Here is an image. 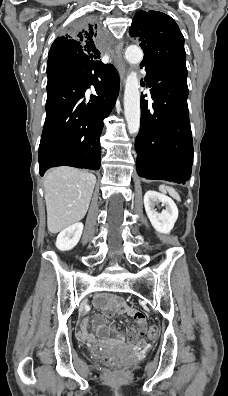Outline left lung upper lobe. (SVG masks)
Instances as JSON below:
<instances>
[{
	"mask_svg": "<svg viewBox=\"0 0 228 396\" xmlns=\"http://www.w3.org/2000/svg\"><path fill=\"white\" fill-rule=\"evenodd\" d=\"M144 51L141 68H165L187 79L184 37L176 22L157 11H139L129 28Z\"/></svg>",
	"mask_w": 228,
	"mask_h": 396,
	"instance_id": "5c2ea615",
	"label": "left lung upper lobe"
}]
</instances>
